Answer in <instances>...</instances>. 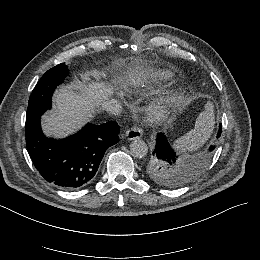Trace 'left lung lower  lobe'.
Masks as SVG:
<instances>
[{
	"instance_id": "obj_1",
	"label": "left lung lower lobe",
	"mask_w": 260,
	"mask_h": 260,
	"mask_svg": "<svg viewBox=\"0 0 260 260\" xmlns=\"http://www.w3.org/2000/svg\"><path fill=\"white\" fill-rule=\"evenodd\" d=\"M221 131H222V128H221V125H220L219 131H218V134H217V138L220 137ZM214 149H215V146H210L209 151H213ZM155 151H156V155L159 158L164 159V160L171 161V160H175V159L178 158L175 151L170 147L166 137L162 133L158 134V137H157V140H156Z\"/></svg>"
}]
</instances>
